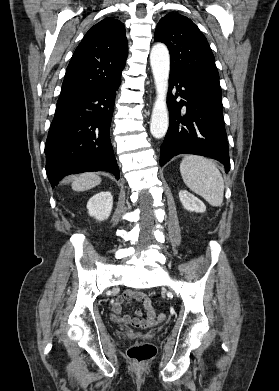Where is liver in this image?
Wrapping results in <instances>:
<instances>
[{
	"mask_svg": "<svg viewBox=\"0 0 279 391\" xmlns=\"http://www.w3.org/2000/svg\"><path fill=\"white\" fill-rule=\"evenodd\" d=\"M101 183V178L95 173H84L74 178L72 189L74 191L89 190Z\"/></svg>",
	"mask_w": 279,
	"mask_h": 391,
	"instance_id": "6515ba94",
	"label": "liver"
}]
</instances>
